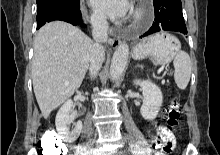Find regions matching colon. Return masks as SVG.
Segmentation results:
<instances>
[{"mask_svg": "<svg viewBox=\"0 0 220 155\" xmlns=\"http://www.w3.org/2000/svg\"><path fill=\"white\" fill-rule=\"evenodd\" d=\"M180 120V103L175 97L166 109L165 126L160 127L159 137L156 144H149V149H153L154 155H171L174 146V137L172 130L178 125ZM43 155H63L64 145L57 141L52 133L44 135Z\"/></svg>", "mask_w": 220, "mask_h": 155, "instance_id": "colon-1", "label": "colon"}]
</instances>
